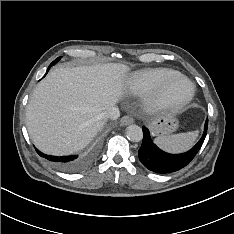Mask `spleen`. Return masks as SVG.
I'll return each instance as SVG.
<instances>
[{"instance_id":"3e777b00","label":"spleen","mask_w":234,"mask_h":234,"mask_svg":"<svg viewBox=\"0 0 234 234\" xmlns=\"http://www.w3.org/2000/svg\"><path fill=\"white\" fill-rule=\"evenodd\" d=\"M198 130L174 135L159 136L154 142L163 150L178 153L189 150L198 137Z\"/></svg>"}]
</instances>
